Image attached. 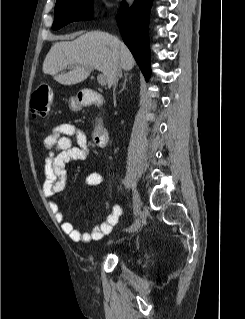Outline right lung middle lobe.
Segmentation results:
<instances>
[{
  "label": "right lung middle lobe",
  "instance_id": "1",
  "mask_svg": "<svg viewBox=\"0 0 245 319\" xmlns=\"http://www.w3.org/2000/svg\"><path fill=\"white\" fill-rule=\"evenodd\" d=\"M92 0H57L52 29L57 30L73 21L87 20L92 14Z\"/></svg>",
  "mask_w": 245,
  "mask_h": 319
}]
</instances>
